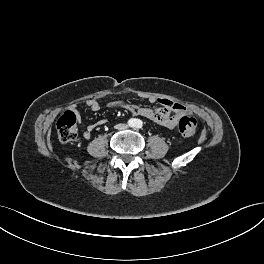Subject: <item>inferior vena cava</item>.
<instances>
[{
    "label": "inferior vena cava",
    "instance_id": "602c4592",
    "mask_svg": "<svg viewBox=\"0 0 264 264\" xmlns=\"http://www.w3.org/2000/svg\"><path fill=\"white\" fill-rule=\"evenodd\" d=\"M115 127L118 130H124V129H127L128 128V125H126V124H118Z\"/></svg>",
    "mask_w": 264,
    "mask_h": 264
}]
</instances>
